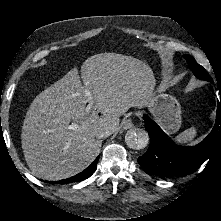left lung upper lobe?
<instances>
[{
	"label": "left lung upper lobe",
	"mask_w": 221,
	"mask_h": 221,
	"mask_svg": "<svg viewBox=\"0 0 221 221\" xmlns=\"http://www.w3.org/2000/svg\"><path fill=\"white\" fill-rule=\"evenodd\" d=\"M184 58L186 59L187 63L189 64V67L191 68L196 77L207 81L212 80L206 72V70L202 66H200L192 56L184 55Z\"/></svg>",
	"instance_id": "obj_1"
}]
</instances>
